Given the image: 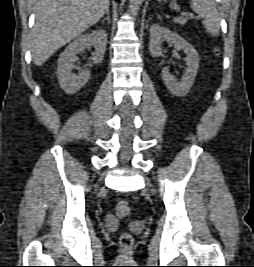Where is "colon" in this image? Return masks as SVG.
Wrapping results in <instances>:
<instances>
[{
	"label": "colon",
	"mask_w": 254,
	"mask_h": 267,
	"mask_svg": "<svg viewBox=\"0 0 254 267\" xmlns=\"http://www.w3.org/2000/svg\"><path fill=\"white\" fill-rule=\"evenodd\" d=\"M116 212L120 217H126L130 213V207L126 200H120L116 205ZM120 244L124 248H130L133 244V237L129 233L120 236Z\"/></svg>",
	"instance_id": "colon-1"
}]
</instances>
